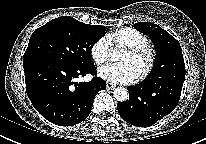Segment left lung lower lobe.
<instances>
[{"mask_svg": "<svg viewBox=\"0 0 206 144\" xmlns=\"http://www.w3.org/2000/svg\"><path fill=\"white\" fill-rule=\"evenodd\" d=\"M185 70L167 74L155 84L127 87L129 100L117 104L121 118L137 127H148L171 113L180 99Z\"/></svg>", "mask_w": 206, "mask_h": 144, "instance_id": "obj_1", "label": "left lung lower lobe"}]
</instances>
